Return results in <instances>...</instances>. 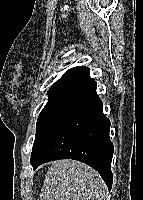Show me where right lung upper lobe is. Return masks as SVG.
Listing matches in <instances>:
<instances>
[{
  "mask_svg": "<svg viewBox=\"0 0 143 200\" xmlns=\"http://www.w3.org/2000/svg\"><path fill=\"white\" fill-rule=\"evenodd\" d=\"M86 67L84 66H78V67H74L69 69L67 72H65L62 76V78L60 79L61 81L66 80L67 78L71 77L72 75H74L75 73L81 71L82 69H84Z\"/></svg>",
  "mask_w": 143,
  "mask_h": 200,
  "instance_id": "right-lung-upper-lobe-1",
  "label": "right lung upper lobe"
}]
</instances>
